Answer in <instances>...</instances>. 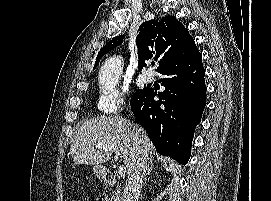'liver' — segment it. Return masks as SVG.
Wrapping results in <instances>:
<instances>
[{
	"mask_svg": "<svg viewBox=\"0 0 271 201\" xmlns=\"http://www.w3.org/2000/svg\"><path fill=\"white\" fill-rule=\"evenodd\" d=\"M134 124L120 116H100L86 120L78 130L70 147V155L74 164L99 165L111 159L112 151L108 148L116 146L122 153L128 174L131 172L138 155L139 146L134 138ZM101 143L102 148H97ZM146 149L149 154L155 150L148 139Z\"/></svg>",
	"mask_w": 271,
	"mask_h": 201,
	"instance_id": "6515ba94",
	"label": "liver"
}]
</instances>
